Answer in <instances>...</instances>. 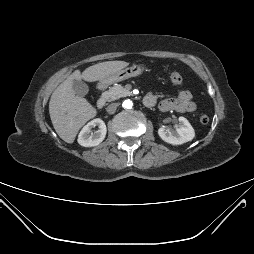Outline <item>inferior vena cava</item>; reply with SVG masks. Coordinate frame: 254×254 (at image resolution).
Segmentation results:
<instances>
[{"label": "inferior vena cava", "mask_w": 254, "mask_h": 254, "mask_svg": "<svg viewBox=\"0 0 254 254\" xmlns=\"http://www.w3.org/2000/svg\"><path fill=\"white\" fill-rule=\"evenodd\" d=\"M118 107V103H111L110 105H108V107L106 108L107 112L109 114H113L116 110V108Z\"/></svg>", "instance_id": "602c4592"}]
</instances>
